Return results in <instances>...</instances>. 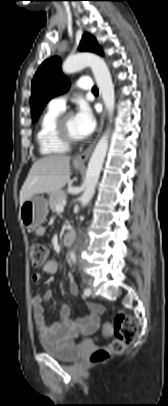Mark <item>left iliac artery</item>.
I'll return each mask as SVG.
<instances>
[{
  "instance_id": "left-iliac-artery-1",
  "label": "left iliac artery",
  "mask_w": 168,
  "mask_h": 406,
  "mask_svg": "<svg viewBox=\"0 0 168 406\" xmlns=\"http://www.w3.org/2000/svg\"><path fill=\"white\" fill-rule=\"evenodd\" d=\"M91 294V290L89 289V288H86L85 290H84V295L85 296H89Z\"/></svg>"
}]
</instances>
